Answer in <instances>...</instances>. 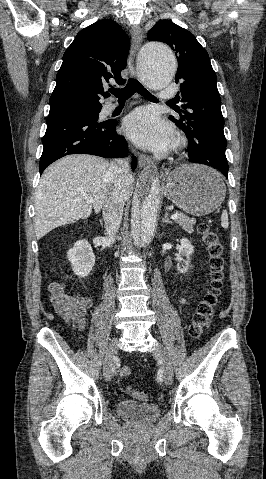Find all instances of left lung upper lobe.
Segmentation results:
<instances>
[{
    "label": "left lung upper lobe",
    "instance_id": "5c2ea615",
    "mask_svg": "<svg viewBox=\"0 0 266 479\" xmlns=\"http://www.w3.org/2000/svg\"><path fill=\"white\" fill-rule=\"evenodd\" d=\"M148 40L167 43L175 51V81L180 83L182 107L187 111L178 110L180 119L169 118L188 138L189 159L209 166L228 165L221 98L207 51L191 32L170 20H159L148 32Z\"/></svg>",
    "mask_w": 266,
    "mask_h": 479
}]
</instances>
